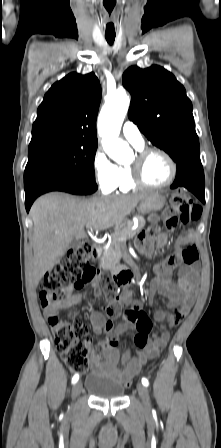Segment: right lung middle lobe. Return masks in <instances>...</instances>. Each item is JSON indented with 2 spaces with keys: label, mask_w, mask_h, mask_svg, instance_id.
Here are the masks:
<instances>
[{
  "label": "right lung middle lobe",
  "mask_w": 221,
  "mask_h": 448,
  "mask_svg": "<svg viewBox=\"0 0 221 448\" xmlns=\"http://www.w3.org/2000/svg\"><path fill=\"white\" fill-rule=\"evenodd\" d=\"M97 140H67L28 148L25 171L49 169L78 179L95 180Z\"/></svg>",
  "instance_id": "right-lung-middle-lobe-1"
}]
</instances>
